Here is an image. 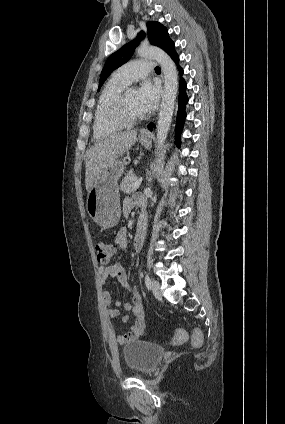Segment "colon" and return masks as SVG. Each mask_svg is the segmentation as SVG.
<instances>
[{
	"mask_svg": "<svg viewBox=\"0 0 285 424\" xmlns=\"http://www.w3.org/2000/svg\"><path fill=\"white\" fill-rule=\"evenodd\" d=\"M95 251L97 255V260L101 264H107L111 257L113 256L115 249L111 244H108L104 241H97L95 243ZM204 332L200 328H196L193 333V343L196 346H200L204 341ZM187 339V333L183 329H179L173 338L174 342H183Z\"/></svg>",
	"mask_w": 285,
	"mask_h": 424,
	"instance_id": "obj_1",
	"label": "colon"
}]
</instances>
